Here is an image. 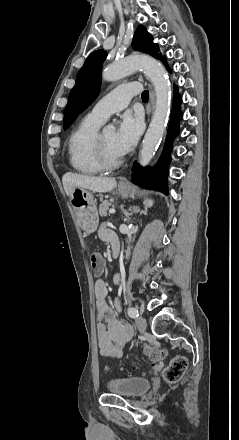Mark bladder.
I'll return each instance as SVG.
<instances>
[{
  "mask_svg": "<svg viewBox=\"0 0 239 440\" xmlns=\"http://www.w3.org/2000/svg\"><path fill=\"white\" fill-rule=\"evenodd\" d=\"M110 393L124 397H137L145 394L151 387L148 379L142 377L112 378L107 382Z\"/></svg>",
  "mask_w": 239,
  "mask_h": 440,
  "instance_id": "obj_1",
  "label": "bladder"
}]
</instances>
